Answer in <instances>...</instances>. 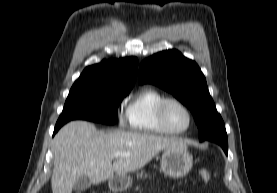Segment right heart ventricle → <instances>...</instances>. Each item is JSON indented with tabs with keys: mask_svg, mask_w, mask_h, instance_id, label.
<instances>
[{
	"mask_svg": "<svg viewBox=\"0 0 277 193\" xmlns=\"http://www.w3.org/2000/svg\"><path fill=\"white\" fill-rule=\"evenodd\" d=\"M166 97L153 87H145L133 96L126 107V117L132 130L143 134H164L157 120V109Z\"/></svg>",
	"mask_w": 277,
	"mask_h": 193,
	"instance_id": "e07e8e85",
	"label": "right heart ventricle"
}]
</instances>
